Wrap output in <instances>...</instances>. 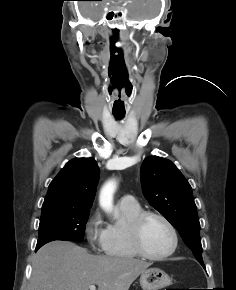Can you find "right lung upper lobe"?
<instances>
[{"label":"right lung upper lobe","instance_id":"1","mask_svg":"<svg viewBox=\"0 0 236 290\" xmlns=\"http://www.w3.org/2000/svg\"><path fill=\"white\" fill-rule=\"evenodd\" d=\"M98 178L99 168L93 158L70 160L50 183L42 211L90 210Z\"/></svg>","mask_w":236,"mask_h":290}]
</instances>
